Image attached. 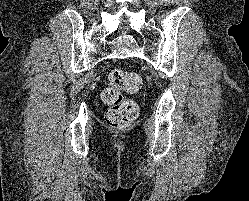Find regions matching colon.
I'll return each mask as SVG.
<instances>
[{"instance_id": "5ec220e1", "label": "colon", "mask_w": 249, "mask_h": 201, "mask_svg": "<svg viewBox=\"0 0 249 201\" xmlns=\"http://www.w3.org/2000/svg\"><path fill=\"white\" fill-rule=\"evenodd\" d=\"M141 86L140 77L121 69L112 70L108 75V86L102 92V100L108 105L105 113L106 124L114 129H126L139 113L135 101L123 96L122 92H135Z\"/></svg>"}]
</instances>
